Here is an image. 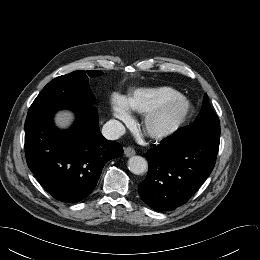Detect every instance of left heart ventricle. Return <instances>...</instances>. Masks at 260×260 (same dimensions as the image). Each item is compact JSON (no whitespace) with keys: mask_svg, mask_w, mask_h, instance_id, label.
I'll return each instance as SVG.
<instances>
[{"mask_svg":"<svg viewBox=\"0 0 260 260\" xmlns=\"http://www.w3.org/2000/svg\"><path fill=\"white\" fill-rule=\"evenodd\" d=\"M181 106L179 102L166 107L157 117L154 118L151 125L154 128L164 127L172 123L179 115Z\"/></svg>","mask_w":260,"mask_h":260,"instance_id":"left-heart-ventricle-1","label":"left heart ventricle"}]
</instances>
